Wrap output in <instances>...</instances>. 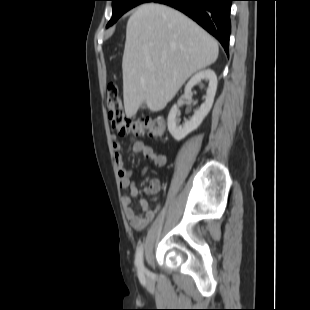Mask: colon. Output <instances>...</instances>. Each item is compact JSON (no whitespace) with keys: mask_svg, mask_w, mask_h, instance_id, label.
Returning a JSON list of instances; mask_svg holds the SVG:
<instances>
[{"mask_svg":"<svg viewBox=\"0 0 310 310\" xmlns=\"http://www.w3.org/2000/svg\"><path fill=\"white\" fill-rule=\"evenodd\" d=\"M108 118L113 128L120 134L133 133L137 135L147 134L150 137H160L166 128L165 119L161 116H141L132 118L126 115L119 90L116 84L107 87ZM147 194L155 193V185L148 184L144 187Z\"/></svg>","mask_w":310,"mask_h":310,"instance_id":"colon-1","label":"colon"}]
</instances>
